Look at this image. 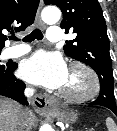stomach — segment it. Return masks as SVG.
<instances>
[{
	"label": "stomach",
	"mask_w": 117,
	"mask_h": 131,
	"mask_svg": "<svg viewBox=\"0 0 117 131\" xmlns=\"http://www.w3.org/2000/svg\"><path fill=\"white\" fill-rule=\"evenodd\" d=\"M49 114L57 117L60 121L65 123H74L77 119V114L75 112H69L62 109L52 110Z\"/></svg>",
	"instance_id": "1"
}]
</instances>
